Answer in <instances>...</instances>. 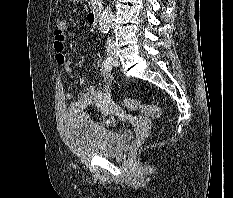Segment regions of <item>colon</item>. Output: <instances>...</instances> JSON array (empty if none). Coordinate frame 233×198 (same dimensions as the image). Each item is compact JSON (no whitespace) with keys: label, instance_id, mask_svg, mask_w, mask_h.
<instances>
[{"label":"colon","instance_id":"1","mask_svg":"<svg viewBox=\"0 0 233 198\" xmlns=\"http://www.w3.org/2000/svg\"><path fill=\"white\" fill-rule=\"evenodd\" d=\"M66 32L65 22L62 20H58L56 22L55 31L54 34L56 36H63ZM124 105L131 109H139V111L146 117L157 119L161 116V108L158 105L152 104V105H146L141 104L137 100L127 97L124 100Z\"/></svg>","mask_w":233,"mask_h":198}]
</instances>
